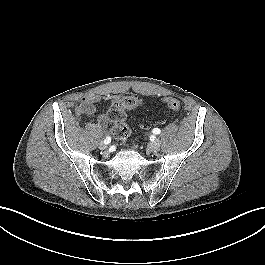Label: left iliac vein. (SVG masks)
I'll return each instance as SVG.
<instances>
[{
	"instance_id": "4c4485c4",
	"label": "left iliac vein",
	"mask_w": 265,
	"mask_h": 265,
	"mask_svg": "<svg viewBox=\"0 0 265 265\" xmlns=\"http://www.w3.org/2000/svg\"><path fill=\"white\" fill-rule=\"evenodd\" d=\"M149 149H150L151 152H154V153L158 152L160 150V143H159V141L156 140V141L152 142L150 144V146H149Z\"/></svg>"
}]
</instances>
